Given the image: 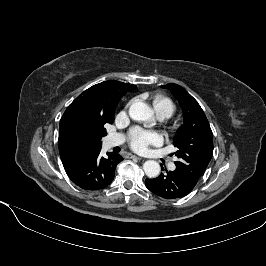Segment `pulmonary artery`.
Wrapping results in <instances>:
<instances>
[{"instance_id": "1", "label": "pulmonary artery", "mask_w": 266, "mask_h": 266, "mask_svg": "<svg viewBox=\"0 0 266 266\" xmlns=\"http://www.w3.org/2000/svg\"><path fill=\"white\" fill-rule=\"evenodd\" d=\"M157 116L160 120L165 119V117L162 115H157ZM124 141H125L124 135L116 133V134H111L107 137L106 144L108 147H114V146H118V145L122 144ZM169 168L171 170L175 169V164L170 163Z\"/></svg>"}]
</instances>
